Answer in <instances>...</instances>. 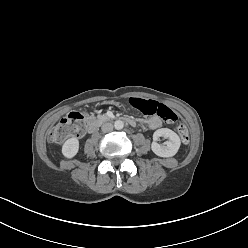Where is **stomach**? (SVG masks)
<instances>
[{"mask_svg": "<svg viewBox=\"0 0 248 248\" xmlns=\"http://www.w3.org/2000/svg\"><path fill=\"white\" fill-rule=\"evenodd\" d=\"M104 104L105 105H115V106H117L120 110H122V111H126L127 110V107L125 106V105H123V104H121L119 101H117V100H105L104 101V103L103 102H99L98 103V106L99 107H103L104 106Z\"/></svg>", "mask_w": 248, "mask_h": 248, "instance_id": "obj_1", "label": "stomach"}]
</instances>
